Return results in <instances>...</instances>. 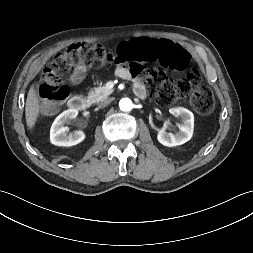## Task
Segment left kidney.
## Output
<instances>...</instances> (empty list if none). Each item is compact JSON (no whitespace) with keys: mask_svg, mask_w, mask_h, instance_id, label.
<instances>
[{"mask_svg":"<svg viewBox=\"0 0 253 253\" xmlns=\"http://www.w3.org/2000/svg\"><path fill=\"white\" fill-rule=\"evenodd\" d=\"M169 112L179 117L182 124L179 125V132L176 134L167 133L164 130H160L157 134L158 141L167 147L178 146L186 143L192 137L194 130V115L191 111L183 107H174L169 109Z\"/></svg>","mask_w":253,"mask_h":253,"instance_id":"5707ae66","label":"left kidney"}]
</instances>
